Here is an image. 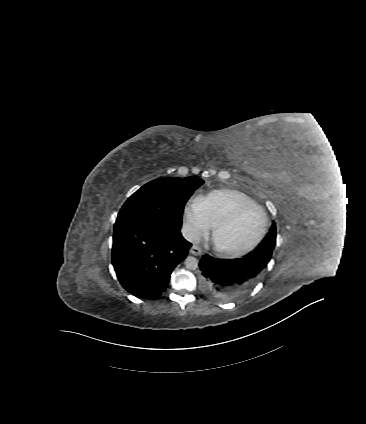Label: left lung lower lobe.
<instances>
[{"instance_id": "left-lung-lower-lobe-1", "label": "left lung lower lobe", "mask_w": 366, "mask_h": 424, "mask_svg": "<svg viewBox=\"0 0 366 424\" xmlns=\"http://www.w3.org/2000/svg\"><path fill=\"white\" fill-rule=\"evenodd\" d=\"M267 263L250 253L237 259H215L205 255L199 263L201 289L218 301L235 300L256 284Z\"/></svg>"}]
</instances>
